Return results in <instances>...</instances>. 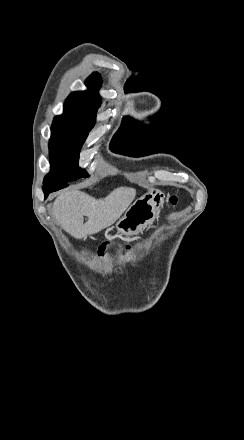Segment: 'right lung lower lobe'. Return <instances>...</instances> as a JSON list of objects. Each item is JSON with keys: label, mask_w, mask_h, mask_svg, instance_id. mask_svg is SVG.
Here are the masks:
<instances>
[{"label": "right lung lower lobe", "mask_w": 244, "mask_h": 440, "mask_svg": "<svg viewBox=\"0 0 244 440\" xmlns=\"http://www.w3.org/2000/svg\"><path fill=\"white\" fill-rule=\"evenodd\" d=\"M68 186V183L65 182H51V183H46L43 186V192L45 195V198L52 192L60 190L62 188H65Z\"/></svg>", "instance_id": "1"}]
</instances>
